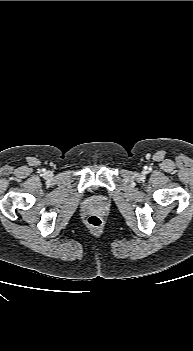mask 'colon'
<instances>
[{"instance_id":"1","label":"colon","mask_w":193,"mask_h":351,"mask_svg":"<svg viewBox=\"0 0 193 351\" xmlns=\"http://www.w3.org/2000/svg\"><path fill=\"white\" fill-rule=\"evenodd\" d=\"M87 224L94 229H98L102 226V220L100 217L92 215L88 218Z\"/></svg>"}]
</instances>
